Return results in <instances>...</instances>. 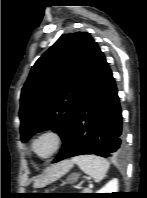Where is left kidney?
Instances as JSON below:
<instances>
[{
  "label": "left kidney",
  "mask_w": 147,
  "mask_h": 198,
  "mask_svg": "<svg viewBox=\"0 0 147 198\" xmlns=\"http://www.w3.org/2000/svg\"><path fill=\"white\" fill-rule=\"evenodd\" d=\"M118 192V179H112L96 193Z\"/></svg>",
  "instance_id": "left-kidney-1"
}]
</instances>
